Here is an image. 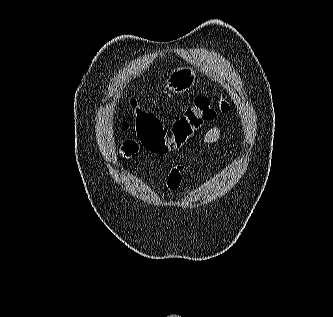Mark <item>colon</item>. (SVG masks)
Returning a JSON list of instances; mask_svg holds the SVG:
<instances>
[{"label":"colon","instance_id":"colon-1","mask_svg":"<svg viewBox=\"0 0 333 317\" xmlns=\"http://www.w3.org/2000/svg\"><path fill=\"white\" fill-rule=\"evenodd\" d=\"M136 136L139 143L156 155H166L185 146L206 123L219 113L229 110V104L221 98L197 96L186 106L183 113L165 127L151 111L134 103ZM127 124H123L126 128Z\"/></svg>","mask_w":333,"mask_h":317}]
</instances>
